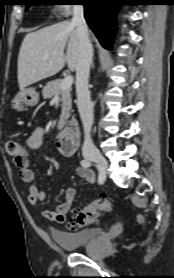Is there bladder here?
Wrapping results in <instances>:
<instances>
[{"label":"bladder","mask_w":174,"mask_h":278,"mask_svg":"<svg viewBox=\"0 0 174 278\" xmlns=\"http://www.w3.org/2000/svg\"><path fill=\"white\" fill-rule=\"evenodd\" d=\"M101 234L102 229L99 227L87 228L77 232L51 231V237L54 242L64 250H74L85 247L96 241Z\"/></svg>","instance_id":"bladder-1"}]
</instances>
